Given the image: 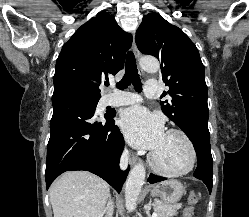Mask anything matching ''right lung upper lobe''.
Returning a JSON list of instances; mask_svg holds the SVG:
<instances>
[{
    "instance_id": "right-lung-upper-lobe-1",
    "label": "right lung upper lobe",
    "mask_w": 249,
    "mask_h": 217,
    "mask_svg": "<svg viewBox=\"0 0 249 217\" xmlns=\"http://www.w3.org/2000/svg\"><path fill=\"white\" fill-rule=\"evenodd\" d=\"M132 35L124 32L114 15L99 13L63 45L53 77L54 94L78 92L101 97L99 84L124 67Z\"/></svg>"
}]
</instances>
